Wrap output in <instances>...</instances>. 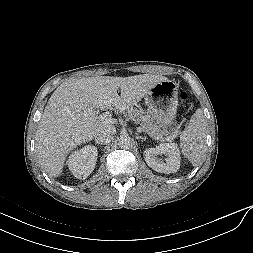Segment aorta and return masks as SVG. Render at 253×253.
I'll use <instances>...</instances> for the list:
<instances>
[{
    "instance_id": "obj_1",
    "label": "aorta",
    "mask_w": 253,
    "mask_h": 253,
    "mask_svg": "<svg viewBox=\"0 0 253 253\" xmlns=\"http://www.w3.org/2000/svg\"><path fill=\"white\" fill-rule=\"evenodd\" d=\"M132 144V139L128 135H121L118 139V146L122 149H128Z\"/></svg>"
}]
</instances>
